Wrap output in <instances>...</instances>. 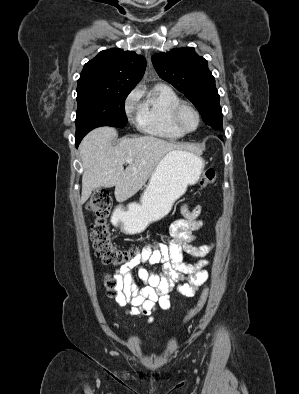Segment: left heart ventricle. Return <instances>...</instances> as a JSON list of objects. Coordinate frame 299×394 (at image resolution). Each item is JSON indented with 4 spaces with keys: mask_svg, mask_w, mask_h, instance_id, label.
<instances>
[{
    "mask_svg": "<svg viewBox=\"0 0 299 394\" xmlns=\"http://www.w3.org/2000/svg\"><path fill=\"white\" fill-rule=\"evenodd\" d=\"M181 123L188 130L194 129L197 125L196 115L190 109H184L181 114Z\"/></svg>",
    "mask_w": 299,
    "mask_h": 394,
    "instance_id": "1",
    "label": "left heart ventricle"
}]
</instances>
